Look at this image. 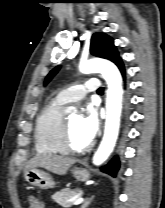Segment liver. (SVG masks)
<instances>
[{
	"label": "liver",
	"instance_id": "1",
	"mask_svg": "<svg viewBox=\"0 0 165 208\" xmlns=\"http://www.w3.org/2000/svg\"><path fill=\"white\" fill-rule=\"evenodd\" d=\"M75 161L73 158L58 155L38 154L30 159L25 171L31 168L42 167L54 174L65 175Z\"/></svg>",
	"mask_w": 165,
	"mask_h": 208
}]
</instances>
